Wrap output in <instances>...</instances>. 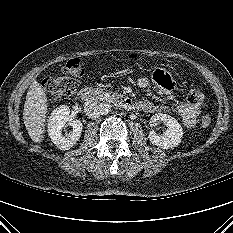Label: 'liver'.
<instances>
[{"instance_id": "obj_1", "label": "liver", "mask_w": 233, "mask_h": 233, "mask_svg": "<svg viewBox=\"0 0 233 233\" xmlns=\"http://www.w3.org/2000/svg\"><path fill=\"white\" fill-rule=\"evenodd\" d=\"M47 102L45 91L37 81H34L27 92L23 119L30 138L36 143L44 138Z\"/></svg>"}]
</instances>
